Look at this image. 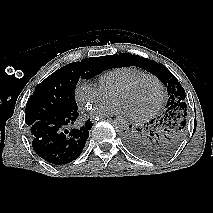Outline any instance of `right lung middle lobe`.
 Listing matches in <instances>:
<instances>
[{"label": "right lung middle lobe", "mask_w": 213, "mask_h": 213, "mask_svg": "<svg viewBox=\"0 0 213 213\" xmlns=\"http://www.w3.org/2000/svg\"><path fill=\"white\" fill-rule=\"evenodd\" d=\"M110 68L107 57L83 59L70 63L48 76L35 88L25 109L28 128L39 120L77 111L75 88L79 79L91 78Z\"/></svg>", "instance_id": "right-lung-middle-lobe-1"}]
</instances>
